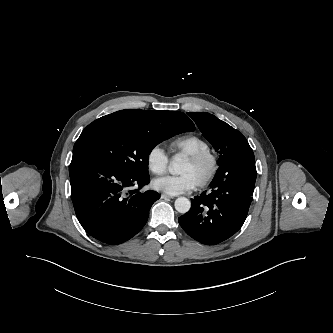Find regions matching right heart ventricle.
I'll use <instances>...</instances> for the list:
<instances>
[{
    "label": "right heart ventricle",
    "instance_id": "right-heart-ventricle-1",
    "mask_svg": "<svg viewBox=\"0 0 333 333\" xmlns=\"http://www.w3.org/2000/svg\"><path fill=\"white\" fill-rule=\"evenodd\" d=\"M174 155L188 156L202 151H208V143L199 136L183 134L171 139L168 143Z\"/></svg>",
    "mask_w": 333,
    "mask_h": 333
}]
</instances>
